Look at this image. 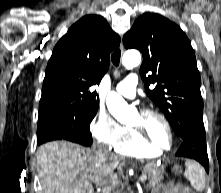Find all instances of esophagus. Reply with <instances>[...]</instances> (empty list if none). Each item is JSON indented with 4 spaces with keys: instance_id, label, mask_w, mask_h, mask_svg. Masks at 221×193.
Wrapping results in <instances>:
<instances>
[{
    "instance_id": "34e87169",
    "label": "esophagus",
    "mask_w": 221,
    "mask_h": 193,
    "mask_svg": "<svg viewBox=\"0 0 221 193\" xmlns=\"http://www.w3.org/2000/svg\"><path fill=\"white\" fill-rule=\"evenodd\" d=\"M120 49H121L122 52L124 51V45H123V42H122V41H121V43H120Z\"/></svg>"
}]
</instances>
